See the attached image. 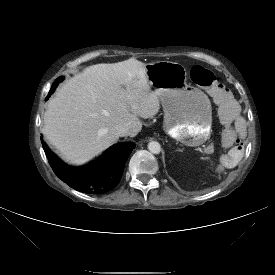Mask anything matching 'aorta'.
<instances>
[{"mask_svg": "<svg viewBox=\"0 0 275 275\" xmlns=\"http://www.w3.org/2000/svg\"><path fill=\"white\" fill-rule=\"evenodd\" d=\"M148 150L153 154H159L161 151V145L156 141L148 143Z\"/></svg>", "mask_w": 275, "mask_h": 275, "instance_id": "obj_1", "label": "aorta"}]
</instances>
